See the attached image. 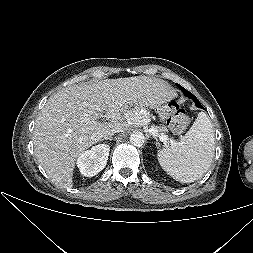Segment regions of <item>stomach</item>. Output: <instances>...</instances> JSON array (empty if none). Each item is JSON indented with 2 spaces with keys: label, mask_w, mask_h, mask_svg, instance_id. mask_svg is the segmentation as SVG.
Wrapping results in <instances>:
<instances>
[{
  "label": "stomach",
  "mask_w": 253,
  "mask_h": 253,
  "mask_svg": "<svg viewBox=\"0 0 253 253\" xmlns=\"http://www.w3.org/2000/svg\"><path fill=\"white\" fill-rule=\"evenodd\" d=\"M168 104H161L159 105L156 109H157V113L159 114L158 116V121L160 123H165L167 121V117H168Z\"/></svg>",
  "instance_id": "obj_1"
}]
</instances>
